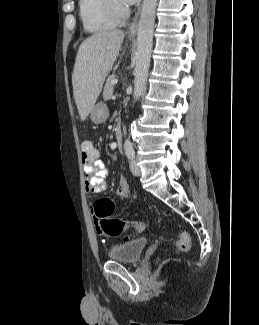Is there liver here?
Here are the masks:
<instances>
[{
    "label": "liver",
    "instance_id": "obj_1",
    "mask_svg": "<svg viewBox=\"0 0 259 325\" xmlns=\"http://www.w3.org/2000/svg\"><path fill=\"white\" fill-rule=\"evenodd\" d=\"M123 40V31L108 30L91 35L80 45L72 74V85L82 121L92 111Z\"/></svg>",
    "mask_w": 259,
    "mask_h": 325
}]
</instances>
